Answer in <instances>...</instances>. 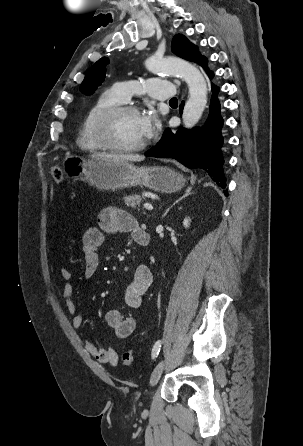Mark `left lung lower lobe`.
<instances>
[{
  "instance_id": "left-lung-lower-lobe-1",
  "label": "left lung lower lobe",
  "mask_w": 303,
  "mask_h": 446,
  "mask_svg": "<svg viewBox=\"0 0 303 446\" xmlns=\"http://www.w3.org/2000/svg\"><path fill=\"white\" fill-rule=\"evenodd\" d=\"M207 59L201 64L210 78L213 72L207 68ZM219 88L212 85V98L209 117L201 129L180 128L176 133L166 129L161 141L145 155L150 157L176 159L188 168H201L208 172L213 181L222 188L226 186L222 166L224 159L221 154L223 137L221 128L224 120L220 116V102L217 99ZM183 102L180 105V112ZM227 196V191L224 192Z\"/></svg>"
}]
</instances>
